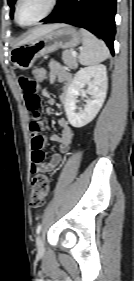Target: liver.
Segmentation results:
<instances>
[{"instance_id": "liver-1", "label": "liver", "mask_w": 134, "mask_h": 281, "mask_svg": "<svg viewBox=\"0 0 134 281\" xmlns=\"http://www.w3.org/2000/svg\"><path fill=\"white\" fill-rule=\"evenodd\" d=\"M59 26V24H53V25H44V26H41V27H38L34 30H32L30 32V34L25 37L20 43L19 45L21 44H26V43H29V42H32L33 40H35L36 38L52 31L53 29L57 28Z\"/></svg>"}]
</instances>
